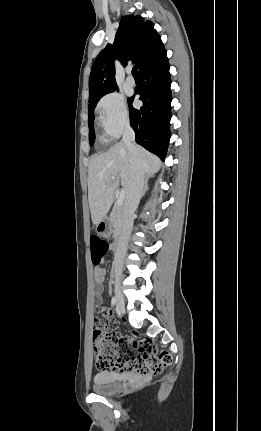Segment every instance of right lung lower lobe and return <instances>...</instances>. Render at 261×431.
Wrapping results in <instances>:
<instances>
[{
	"instance_id": "right-lung-lower-lobe-1",
	"label": "right lung lower lobe",
	"mask_w": 261,
	"mask_h": 431,
	"mask_svg": "<svg viewBox=\"0 0 261 431\" xmlns=\"http://www.w3.org/2000/svg\"><path fill=\"white\" fill-rule=\"evenodd\" d=\"M141 83L135 94L143 106L134 109V96L128 99L130 124L136 135V142L150 152L165 159L170 139L171 80L169 63L164 49L139 69Z\"/></svg>"
}]
</instances>
